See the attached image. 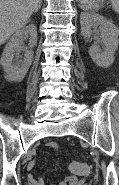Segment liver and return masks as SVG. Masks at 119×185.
Segmentation results:
<instances>
[{"mask_svg":"<svg viewBox=\"0 0 119 185\" xmlns=\"http://www.w3.org/2000/svg\"><path fill=\"white\" fill-rule=\"evenodd\" d=\"M42 0H0V46L22 29Z\"/></svg>","mask_w":119,"mask_h":185,"instance_id":"6515ba94","label":"liver"}]
</instances>
